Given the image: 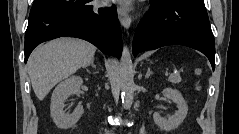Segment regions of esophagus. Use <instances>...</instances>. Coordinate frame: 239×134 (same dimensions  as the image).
Segmentation results:
<instances>
[{
  "label": "esophagus",
  "instance_id": "esophagus-1",
  "mask_svg": "<svg viewBox=\"0 0 239 134\" xmlns=\"http://www.w3.org/2000/svg\"><path fill=\"white\" fill-rule=\"evenodd\" d=\"M117 14L121 25L124 28L128 29L131 25V17L129 16V14L121 7H118Z\"/></svg>",
  "mask_w": 239,
  "mask_h": 134
}]
</instances>
